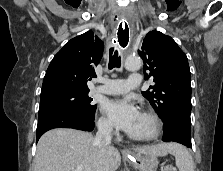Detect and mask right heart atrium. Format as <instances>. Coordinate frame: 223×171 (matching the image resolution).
I'll use <instances>...</instances> for the list:
<instances>
[{"mask_svg":"<svg viewBox=\"0 0 223 171\" xmlns=\"http://www.w3.org/2000/svg\"><path fill=\"white\" fill-rule=\"evenodd\" d=\"M98 128L105 133H111L113 131V126L111 122L104 116L99 118Z\"/></svg>","mask_w":223,"mask_h":171,"instance_id":"d8ad5b80","label":"right heart atrium"}]
</instances>
